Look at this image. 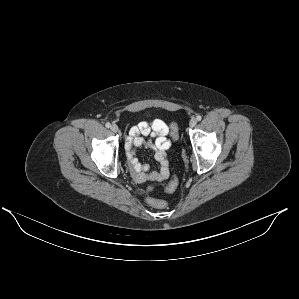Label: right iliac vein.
I'll list each match as a JSON object with an SVG mask.
<instances>
[{
	"label": "right iliac vein",
	"instance_id": "right-iliac-vein-1",
	"mask_svg": "<svg viewBox=\"0 0 299 299\" xmlns=\"http://www.w3.org/2000/svg\"><path fill=\"white\" fill-rule=\"evenodd\" d=\"M110 129L112 132H115V133L118 132V130H119L118 126L115 124L111 125Z\"/></svg>",
	"mask_w": 299,
	"mask_h": 299
}]
</instances>
